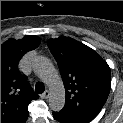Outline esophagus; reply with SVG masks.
<instances>
[{"mask_svg": "<svg viewBox=\"0 0 123 123\" xmlns=\"http://www.w3.org/2000/svg\"><path fill=\"white\" fill-rule=\"evenodd\" d=\"M49 95H50V92H49L48 90H46L44 93H42V94L40 95V97H41L42 99H47V98L49 97Z\"/></svg>", "mask_w": 123, "mask_h": 123, "instance_id": "1", "label": "esophagus"}]
</instances>
